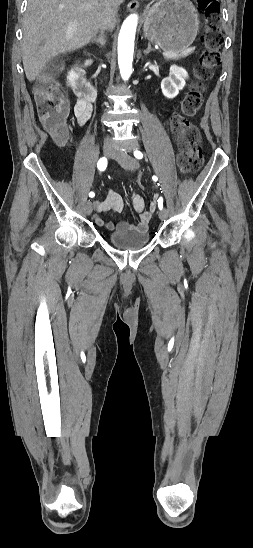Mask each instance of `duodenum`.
<instances>
[{"label": "duodenum", "instance_id": "410a0bca", "mask_svg": "<svg viewBox=\"0 0 253 548\" xmlns=\"http://www.w3.org/2000/svg\"><path fill=\"white\" fill-rule=\"evenodd\" d=\"M72 87L79 98L88 102L94 101L97 96L95 86L87 78L86 72L80 64L73 68Z\"/></svg>", "mask_w": 253, "mask_h": 548}]
</instances>
